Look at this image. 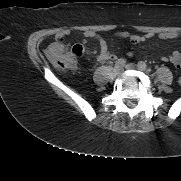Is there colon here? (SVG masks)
Returning <instances> with one entry per match:
<instances>
[{
  "label": "colon",
  "mask_w": 181,
  "mask_h": 181,
  "mask_svg": "<svg viewBox=\"0 0 181 181\" xmlns=\"http://www.w3.org/2000/svg\"><path fill=\"white\" fill-rule=\"evenodd\" d=\"M83 52L84 48L82 45H75L70 53L64 52L62 50L52 53L50 60L56 68L65 70L75 67L76 59L81 57ZM179 82L181 84V77L179 78Z\"/></svg>",
  "instance_id": "obj_1"
}]
</instances>
